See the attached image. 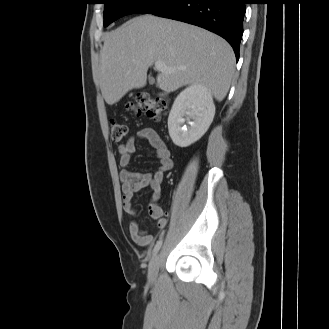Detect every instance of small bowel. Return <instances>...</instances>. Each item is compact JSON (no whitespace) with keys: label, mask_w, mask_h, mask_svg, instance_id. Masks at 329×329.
Returning <instances> with one entry per match:
<instances>
[{"label":"small bowel","mask_w":329,"mask_h":329,"mask_svg":"<svg viewBox=\"0 0 329 329\" xmlns=\"http://www.w3.org/2000/svg\"><path fill=\"white\" fill-rule=\"evenodd\" d=\"M137 138L146 141L153 149L159 166L155 172H135L128 169L132 155L135 152V137L129 138L125 143L119 145V165L122 167L120 172V181L122 189L123 210L128 215H135L136 211L132 206V198L135 192L149 187L152 190L148 212L151 218L157 221L159 230L165 228L167 220L163 217V209L159 202L161 199V186L164 173L173 167L170 157V151L160 136V134L151 128H142L137 133ZM129 233L132 241L139 247H148L155 241V237L141 231L136 221L129 223Z\"/></svg>","instance_id":"small-bowel-1"}]
</instances>
